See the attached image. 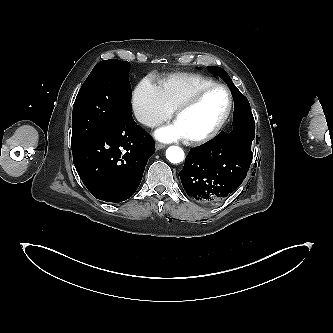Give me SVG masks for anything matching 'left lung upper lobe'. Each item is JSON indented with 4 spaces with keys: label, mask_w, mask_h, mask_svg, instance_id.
<instances>
[{
    "label": "left lung upper lobe",
    "mask_w": 333,
    "mask_h": 333,
    "mask_svg": "<svg viewBox=\"0 0 333 333\" xmlns=\"http://www.w3.org/2000/svg\"><path fill=\"white\" fill-rule=\"evenodd\" d=\"M208 70L218 76H220L230 87L233 97L234 98H240L246 101V103L248 104L247 99L241 94V92L235 87V85L233 84L232 80L230 79V77L228 76V74L226 73L225 70H223L220 67L217 66H208ZM250 107V106H249Z\"/></svg>",
    "instance_id": "left-lung-upper-lobe-1"
}]
</instances>
